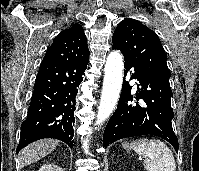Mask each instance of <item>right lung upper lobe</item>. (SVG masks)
Masks as SVG:
<instances>
[{"label": "right lung upper lobe", "instance_id": "cb5924a9", "mask_svg": "<svg viewBox=\"0 0 199 171\" xmlns=\"http://www.w3.org/2000/svg\"><path fill=\"white\" fill-rule=\"evenodd\" d=\"M89 57L87 39L80 24L59 33L48 47L42 63L76 62Z\"/></svg>", "mask_w": 199, "mask_h": 171}]
</instances>
